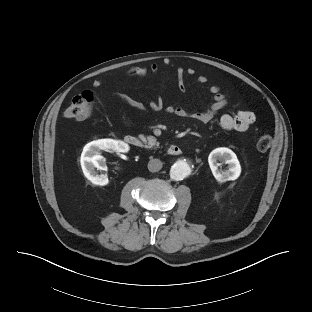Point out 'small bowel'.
<instances>
[{"label":"small bowel","mask_w":312,"mask_h":312,"mask_svg":"<svg viewBox=\"0 0 312 312\" xmlns=\"http://www.w3.org/2000/svg\"><path fill=\"white\" fill-rule=\"evenodd\" d=\"M151 71L153 74H157L159 72V67L156 63H152L150 65V69H147L143 66H135L130 68L125 72L126 77L129 78H143L146 77ZM192 72H188L187 74L182 70L178 69L177 71V79H178V90L179 93H184L186 90L185 87V77L187 75H191ZM103 78H96L93 82V86L98 88L103 84ZM197 84L204 85L207 82V78L205 76H199L196 79ZM209 91L212 95V102L210 105L203 111L199 112H188L184 110L182 107L177 105H169L166 108V111L170 114L176 115L182 118H190L195 121L201 123H208L210 122L220 110H222L227 101L225 97L219 93V89L217 86H210ZM119 99H121L125 104L135 109L139 114H143L146 111V106L127 95H119ZM161 103L159 101H155L152 103V108L159 109L161 108ZM255 121V115L251 111H240L235 115L225 114L220 118L219 124L222 129L227 131H246ZM123 122L126 125H131L132 120L131 118L124 114L123 115Z\"/></svg>","instance_id":"obj_1"}]
</instances>
